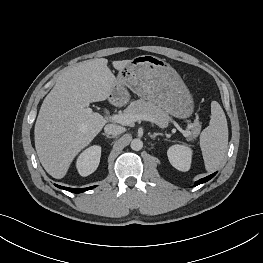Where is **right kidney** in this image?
I'll list each match as a JSON object with an SVG mask.
<instances>
[{
    "instance_id": "1",
    "label": "right kidney",
    "mask_w": 263,
    "mask_h": 263,
    "mask_svg": "<svg viewBox=\"0 0 263 263\" xmlns=\"http://www.w3.org/2000/svg\"><path fill=\"white\" fill-rule=\"evenodd\" d=\"M101 157V147L98 145L85 149L76 161V167L81 176L92 174L98 167Z\"/></svg>"
}]
</instances>
